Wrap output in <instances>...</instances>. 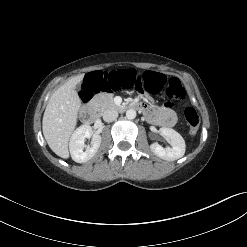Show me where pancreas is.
Masks as SVG:
<instances>
[{
	"label": "pancreas",
	"mask_w": 247,
	"mask_h": 247,
	"mask_svg": "<svg viewBox=\"0 0 247 247\" xmlns=\"http://www.w3.org/2000/svg\"><path fill=\"white\" fill-rule=\"evenodd\" d=\"M95 102L99 111H104L108 108H117L113 101V96L109 94H99L95 98Z\"/></svg>",
	"instance_id": "1"
}]
</instances>
